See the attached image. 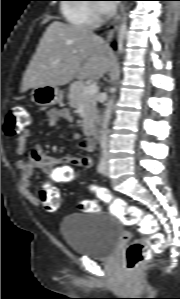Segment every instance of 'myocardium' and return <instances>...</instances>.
Masks as SVG:
<instances>
[{
	"instance_id": "1",
	"label": "myocardium",
	"mask_w": 180,
	"mask_h": 299,
	"mask_svg": "<svg viewBox=\"0 0 180 299\" xmlns=\"http://www.w3.org/2000/svg\"><path fill=\"white\" fill-rule=\"evenodd\" d=\"M92 10H93L94 23H99L101 21V19L97 13V8L94 6V7H92Z\"/></svg>"
}]
</instances>
